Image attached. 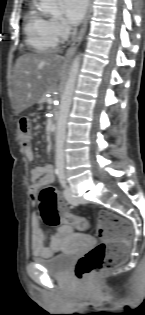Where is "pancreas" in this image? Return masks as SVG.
<instances>
[{"instance_id": "cf45deb5", "label": "pancreas", "mask_w": 145, "mask_h": 315, "mask_svg": "<svg viewBox=\"0 0 145 315\" xmlns=\"http://www.w3.org/2000/svg\"><path fill=\"white\" fill-rule=\"evenodd\" d=\"M47 101H48V99H47L46 97H43V98L40 100L41 103H44V102H47Z\"/></svg>"}]
</instances>
